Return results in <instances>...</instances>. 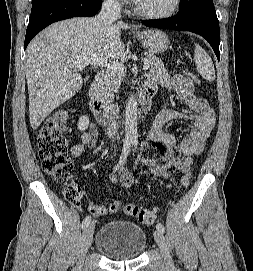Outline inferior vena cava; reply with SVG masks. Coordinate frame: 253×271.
Listing matches in <instances>:
<instances>
[{
  "label": "inferior vena cava",
  "instance_id": "obj_1",
  "mask_svg": "<svg viewBox=\"0 0 253 271\" xmlns=\"http://www.w3.org/2000/svg\"><path fill=\"white\" fill-rule=\"evenodd\" d=\"M120 4L118 0H104L100 13L97 16L98 21L104 25L109 26L114 21L120 19ZM118 119L119 107L118 104L111 102L106 108V130L105 133L112 141H117L118 135Z\"/></svg>",
  "mask_w": 253,
  "mask_h": 271
}]
</instances>
